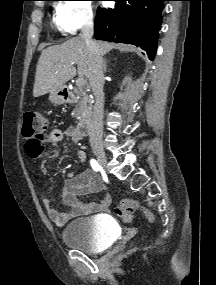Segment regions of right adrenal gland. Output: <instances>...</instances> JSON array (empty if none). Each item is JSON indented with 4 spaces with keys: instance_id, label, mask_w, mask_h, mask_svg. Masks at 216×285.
<instances>
[{
    "instance_id": "right-adrenal-gland-1",
    "label": "right adrenal gland",
    "mask_w": 216,
    "mask_h": 285,
    "mask_svg": "<svg viewBox=\"0 0 216 285\" xmlns=\"http://www.w3.org/2000/svg\"><path fill=\"white\" fill-rule=\"evenodd\" d=\"M103 67H104V71H107V66H106V59L103 60Z\"/></svg>"
}]
</instances>
